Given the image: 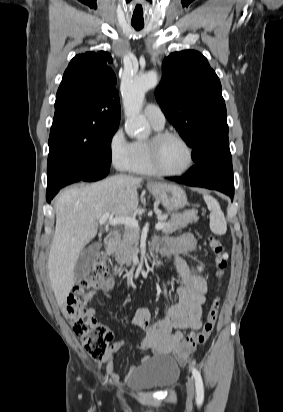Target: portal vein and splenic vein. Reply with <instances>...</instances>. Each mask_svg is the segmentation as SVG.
<instances>
[{
    "label": "portal vein and splenic vein",
    "instance_id": "1",
    "mask_svg": "<svg viewBox=\"0 0 283 412\" xmlns=\"http://www.w3.org/2000/svg\"><path fill=\"white\" fill-rule=\"evenodd\" d=\"M98 223L100 225H103L105 223H108L111 226H117V225H124L126 227H132V228H139L138 221L135 218L132 217H115L112 218L110 217V213L107 212L105 213L102 217L99 218ZM164 227V222L161 220L155 225L156 230H161Z\"/></svg>",
    "mask_w": 283,
    "mask_h": 412
}]
</instances>
